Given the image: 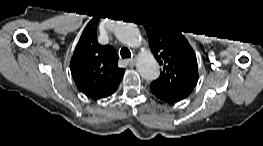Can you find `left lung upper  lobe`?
Wrapping results in <instances>:
<instances>
[{
    "label": "left lung upper lobe",
    "instance_id": "obj_1",
    "mask_svg": "<svg viewBox=\"0 0 263 146\" xmlns=\"http://www.w3.org/2000/svg\"><path fill=\"white\" fill-rule=\"evenodd\" d=\"M149 46L163 71L153 84L159 85L177 100H183L193 91L198 81L196 55L173 25L160 22L145 24Z\"/></svg>",
    "mask_w": 263,
    "mask_h": 146
}]
</instances>
